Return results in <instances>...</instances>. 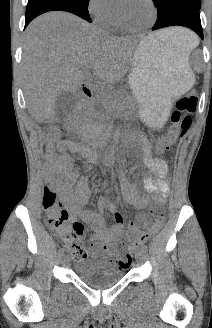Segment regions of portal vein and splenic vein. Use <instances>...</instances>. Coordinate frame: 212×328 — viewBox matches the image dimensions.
Returning a JSON list of instances; mask_svg holds the SVG:
<instances>
[{
	"instance_id": "1",
	"label": "portal vein and splenic vein",
	"mask_w": 212,
	"mask_h": 328,
	"mask_svg": "<svg viewBox=\"0 0 212 328\" xmlns=\"http://www.w3.org/2000/svg\"><path fill=\"white\" fill-rule=\"evenodd\" d=\"M86 68H87L88 70H90V69H91V66H86Z\"/></svg>"
}]
</instances>
